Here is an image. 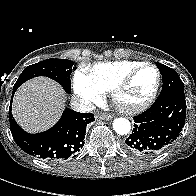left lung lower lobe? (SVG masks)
<instances>
[{
	"mask_svg": "<svg viewBox=\"0 0 196 196\" xmlns=\"http://www.w3.org/2000/svg\"><path fill=\"white\" fill-rule=\"evenodd\" d=\"M166 79L169 76L164 75ZM186 119L184 97L156 99L143 113L134 117V128L125 141L126 150L137 156H154L180 135Z\"/></svg>",
	"mask_w": 196,
	"mask_h": 196,
	"instance_id": "1",
	"label": "left lung lower lobe"
}]
</instances>
